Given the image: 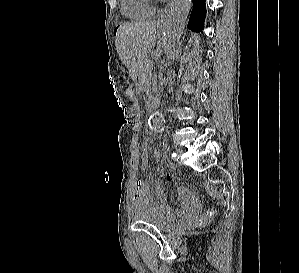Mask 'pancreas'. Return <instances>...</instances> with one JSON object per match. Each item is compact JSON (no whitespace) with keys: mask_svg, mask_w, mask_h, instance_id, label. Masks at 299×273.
Listing matches in <instances>:
<instances>
[{"mask_svg":"<svg viewBox=\"0 0 299 273\" xmlns=\"http://www.w3.org/2000/svg\"><path fill=\"white\" fill-rule=\"evenodd\" d=\"M141 75L145 81H148L152 72V63L149 59H145L141 64Z\"/></svg>","mask_w":299,"mask_h":273,"instance_id":"obj_1","label":"pancreas"}]
</instances>
